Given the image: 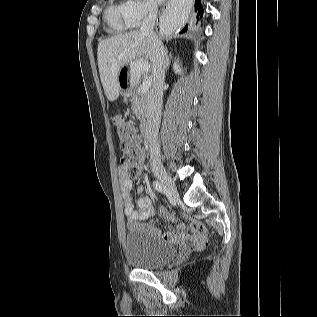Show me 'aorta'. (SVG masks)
Here are the masks:
<instances>
[{
	"label": "aorta",
	"instance_id": "obj_1",
	"mask_svg": "<svg viewBox=\"0 0 317 317\" xmlns=\"http://www.w3.org/2000/svg\"><path fill=\"white\" fill-rule=\"evenodd\" d=\"M180 23L181 17L178 14V12L172 9H168L166 13L163 15L161 28L164 33H171L178 28Z\"/></svg>",
	"mask_w": 317,
	"mask_h": 317
}]
</instances>
